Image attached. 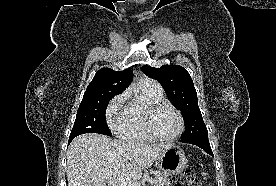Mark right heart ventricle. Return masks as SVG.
<instances>
[{
  "instance_id": "e07e8e85",
  "label": "right heart ventricle",
  "mask_w": 276,
  "mask_h": 186,
  "mask_svg": "<svg viewBox=\"0 0 276 186\" xmlns=\"http://www.w3.org/2000/svg\"><path fill=\"white\" fill-rule=\"evenodd\" d=\"M164 100L162 89L158 83L144 80L138 87V94L128 104L129 118L118 131L120 137L133 141H151L145 125L147 108L156 101Z\"/></svg>"
}]
</instances>
